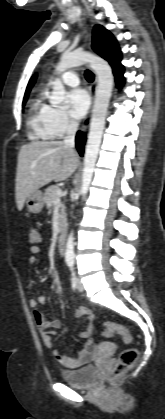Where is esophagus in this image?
<instances>
[{
    "mask_svg": "<svg viewBox=\"0 0 165 419\" xmlns=\"http://www.w3.org/2000/svg\"><path fill=\"white\" fill-rule=\"evenodd\" d=\"M96 88H97V77L95 76L94 82L92 83L91 88H90V94H91V100H92L91 107H90V110H89L87 116L85 117L84 121L82 122L81 127H80V130L82 132H85L88 129L89 124H90L91 108H92V105H93V100H94V95H95V92H96Z\"/></svg>",
    "mask_w": 165,
    "mask_h": 419,
    "instance_id": "1",
    "label": "esophagus"
}]
</instances>
